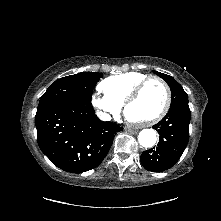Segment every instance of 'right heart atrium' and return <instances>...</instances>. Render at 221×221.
I'll return each mask as SVG.
<instances>
[{"label": "right heart atrium", "mask_w": 221, "mask_h": 221, "mask_svg": "<svg viewBox=\"0 0 221 221\" xmlns=\"http://www.w3.org/2000/svg\"><path fill=\"white\" fill-rule=\"evenodd\" d=\"M91 103L95 108L98 116L103 120L110 119L111 116L117 115L121 110V105L112 101L110 98L101 95L100 92L93 93Z\"/></svg>", "instance_id": "d8ad5b80"}]
</instances>
